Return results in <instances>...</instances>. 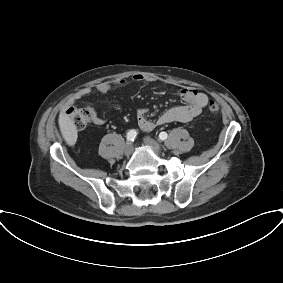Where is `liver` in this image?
Returning a JSON list of instances; mask_svg holds the SVG:
<instances>
[{"mask_svg":"<svg viewBox=\"0 0 283 283\" xmlns=\"http://www.w3.org/2000/svg\"><path fill=\"white\" fill-rule=\"evenodd\" d=\"M60 131L68 145H74L77 140V129L74 122L64 112H60L58 119Z\"/></svg>","mask_w":283,"mask_h":283,"instance_id":"liver-1","label":"liver"}]
</instances>
